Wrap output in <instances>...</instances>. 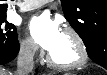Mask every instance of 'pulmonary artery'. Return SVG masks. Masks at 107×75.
Segmentation results:
<instances>
[{"label": "pulmonary artery", "instance_id": "e3ab8cb5", "mask_svg": "<svg viewBox=\"0 0 107 75\" xmlns=\"http://www.w3.org/2000/svg\"><path fill=\"white\" fill-rule=\"evenodd\" d=\"M51 0H24L20 5L21 11H30L36 9Z\"/></svg>", "mask_w": 107, "mask_h": 75}]
</instances>
